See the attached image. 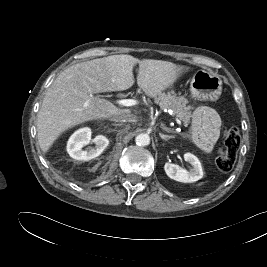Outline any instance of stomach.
<instances>
[{"label": "stomach", "instance_id": "0dacf381", "mask_svg": "<svg viewBox=\"0 0 267 267\" xmlns=\"http://www.w3.org/2000/svg\"><path fill=\"white\" fill-rule=\"evenodd\" d=\"M191 95L200 101H215L222 92V80L213 73L198 70L190 82Z\"/></svg>", "mask_w": 267, "mask_h": 267}]
</instances>
